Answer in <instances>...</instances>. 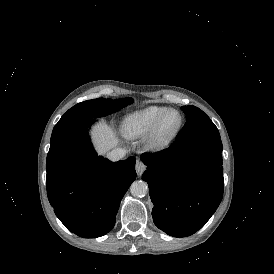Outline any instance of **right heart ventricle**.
I'll use <instances>...</instances> for the list:
<instances>
[{"mask_svg": "<svg viewBox=\"0 0 274 274\" xmlns=\"http://www.w3.org/2000/svg\"><path fill=\"white\" fill-rule=\"evenodd\" d=\"M166 111L165 107L147 106L129 113L120 126L122 135L129 140L145 137Z\"/></svg>", "mask_w": 274, "mask_h": 274, "instance_id": "right-heart-ventricle-1", "label": "right heart ventricle"}]
</instances>
